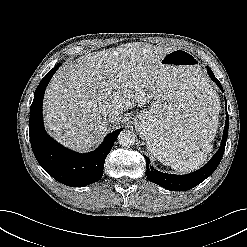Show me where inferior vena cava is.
<instances>
[{
	"mask_svg": "<svg viewBox=\"0 0 247 247\" xmlns=\"http://www.w3.org/2000/svg\"><path fill=\"white\" fill-rule=\"evenodd\" d=\"M120 119V115L118 112L112 111L106 116V120L109 122L118 121Z\"/></svg>",
	"mask_w": 247,
	"mask_h": 247,
	"instance_id": "602c4592",
	"label": "inferior vena cava"
}]
</instances>
